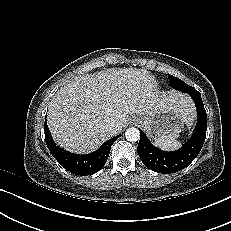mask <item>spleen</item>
I'll use <instances>...</instances> for the list:
<instances>
[{
    "label": "spleen",
    "instance_id": "3e777b00",
    "mask_svg": "<svg viewBox=\"0 0 231 231\" xmlns=\"http://www.w3.org/2000/svg\"><path fill=\"white\" fill-rule=\"evenodd\" d=\"M178 135H165L155 140L154 145L162 150H176L180 147L181 143L177 140Z\"/></svg>",
    "mask_w": 231,
    "mask_h": 231
}]
</instances>
